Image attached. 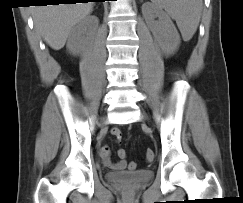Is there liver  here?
Instances as JSON below:
<instances>
[{
  "mask_svg": "<svg viewBox=\"0 0 243 203\" xmlns=\"http://www.w3.org/2000/svg\"><path fill=\"white\" fill-rule=\"evenodd\" d=\"M92 9L93 2L36 6L34 25L51 48L60 50L74 25L86 18Z\"/></svg>",
  "mask_w": 243,
  "mask_h": 203,
  "instance_id": "1",
  "label": "liver"
}]
</instances>
